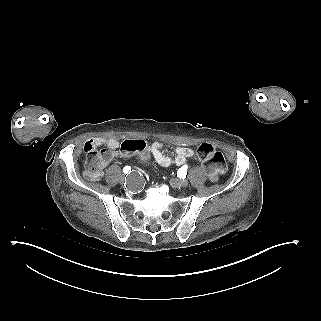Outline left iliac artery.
Here are the masks:
<instances>
[{
	"label": "left iliac artery",
	"instance_id": "1",
	"mask_svg": "<svg viewBox=\"0 0 321 321\" xmlns=\"http://www.w3.org/2000/svg\"><path fill=\"white\" fill-rule=\"evenodd\" d=\"M187 168H188V166L187 165H184V166H182L180 169H179V174L182 176V177H185L186 176V171H187Z\"/></svg>",
	"mask_w": 321,
	"mask_h": 321
}]
</instances>
